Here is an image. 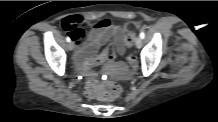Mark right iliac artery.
Listing matches in <instances>:
<instances>
[{
  "instance_id": "1",
  "label": "right iliac artery",
  "mask_w": 218,
  "mask_h": 122,
  "mask_svg": "<svg viewBox=\"0 0 218 122\" xmlns=\"http://www.w3.org/2000/svg\"><path fill=\"white\" fill-rule=\"evenodd\" d=\"M70 40H71L70 37L67 36V37H66V41H67V42H70Z\"/></svg>"
}]
</instances>
